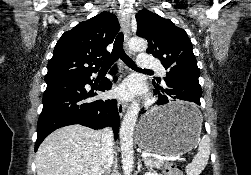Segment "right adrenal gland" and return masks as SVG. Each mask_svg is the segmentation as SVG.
<instances>
[{"mask_svg":"<svg viewBox=\"0 0 251 175\" xmlns=\"http://www.w3.org/2000/svg\"><path fill=\"white\" fill-rule=\"evenodd\" d=\"M108 173H110V169H109V167H108V169H107V171H106L105 175H108Z\"/></svg>","mask_w":251,"mask_h":175,"instance_id":"1","label":"right adrenal gland"}]
</instances>
